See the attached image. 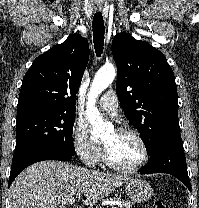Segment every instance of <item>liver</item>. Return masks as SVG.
<instances>
[{
	"label": "liver",
	"instance_id": "1",
	"mask_svg": "<svg viewBox=\"0 0 199 208\" xmlns=\"http://www.w3.org/2000/svg\"><path fill=\"white\" fill-rule=\"evenodd\" d=\"M128 180L122 174L102 173L60 161H41L16 177L10 187V207L58 208L74 195L83 204L91 205Z\"/></svg>",
	"mask_w": 199,
	"mask_h": 208
}]
</instances>
